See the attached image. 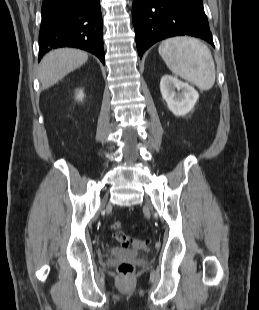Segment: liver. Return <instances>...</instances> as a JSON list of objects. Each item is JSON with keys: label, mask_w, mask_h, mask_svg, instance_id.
Instances as JSON below:
<instances>
[{"label": "liver", "mask_w": 259, "mask_h": 310, "mask_svg": "<svg viewBox=\"0 0 259 310\" xmlns=\"http://www.w3.org/2000/svg\"><path fill=\"white\" fill-rule=\"evenodd\" d=\"M87 60L88 54L78 49L60 48L49 52L43 57L39 68L42 88L53 86Z\"/></svg>", "instance_id": "obj_1"}]
</instances>
